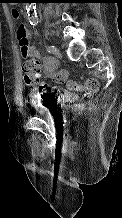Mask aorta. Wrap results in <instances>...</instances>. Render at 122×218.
Listing matches in <instances>:
<instances>
[{
    "instance_id": "1",
    "label": "aorta",
    "mask_w": 122,
    "mask_h": 218,
    "mask_svg": "<svg viewBox=\"0 0 122 218\" xmlns=\"http://www.w3.org/2000/svg\"><path fill=\"white\" fill-rule=\"evenodd\" d=\"M26 9H27L28 21L30 22V24L35 25L37 23V13H36L35 3H28Z\"/></svg>"
}]
</instances>
